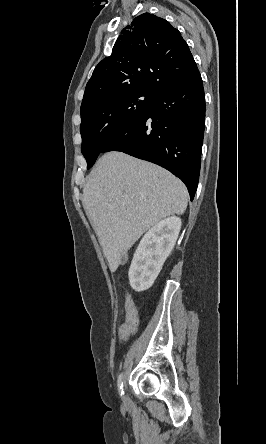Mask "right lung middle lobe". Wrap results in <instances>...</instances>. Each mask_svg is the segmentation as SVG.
I'll use <instances>...</instances> for the list:
<instances>
[{"mask_svg":"<svg viewBox=\"0 0 266 444\" xmlns=\"http://www.w3.org/2000/svg\"><path fill=\"white\" fill-rule=\"evenodd\" d=\"M155 94L127 90L102 97L81 110V151L87 169L116 135L130 127L150 110Z\"/></svg>","mask_w":266,"mask_h":444,"instance_id":"obj_1","label":"right lung middle lobe"}]
</instances>
